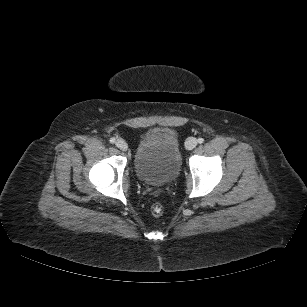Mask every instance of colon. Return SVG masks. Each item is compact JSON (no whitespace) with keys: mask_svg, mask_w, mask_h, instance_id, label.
<instances>
[{"mask_svg":"<svg viewBox=\"0 0 307 307\" xmlns=\"http://www.w3.org/2000/svg\"><path fill=\"white\" fill-rule=\"evenodd\" d=\"M151 212L154 216H160L163 212V208L159 203H155L151 208Z\"/></svg>","mask_w":307,"mask_h":307,"instance_id":"colon-1","label":"colon"}]
</instances>
